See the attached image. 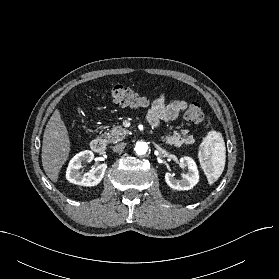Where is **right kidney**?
<instances>
[{
	"mask_svg": "<svg viewBox=\"0 0 279 279\" xmlns=\"http://www.w3.org/2000/svg\"><path fill=\"white\" fill-rule=\"evenodd\" d=\"M94 158V154L90 150L77 153L69 162L66 179L76 185L92 187L98 185L104 177L107 164L103 163L85 174L80 171L84 162H90Z\"/></svg>",
	"mask_w": 279,
	"mask_h": 279,
	"instance_id": "1",
	"label": "right kidney"
}]
</instances>
